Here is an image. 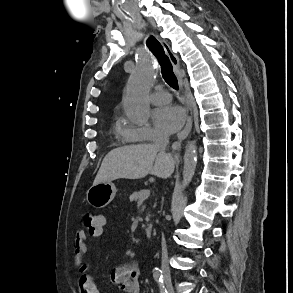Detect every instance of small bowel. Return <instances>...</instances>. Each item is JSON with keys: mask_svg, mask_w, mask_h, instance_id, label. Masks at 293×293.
<instances>
[{"mask_svg": "<svg viewBox=\"0 0 293 293\" xmlns=\"http://www.w3.org/2000/svg\"><path fill=\"white\" fill-rule=\"evenodd\" d=\"M102 220V227L95 233H90L93 237H100L103 234V227L106 224V218L103 215H98ZM87 233L83 230H78L74 238V253L76 265L82 271V275L78 279V289L80 293H90L92 288H96L92 278L85 274L87 264L85 258L88 255L86 245ZM140 269L137 263H125L117 266L112 273V281L125 293H140ZM96 293L98 290L96 288Z\"/></svg>", "mask_w": 293, "mask_h": 293, "instance_id": "c3829d8e", "label": "small bowel"}]
</instances>
